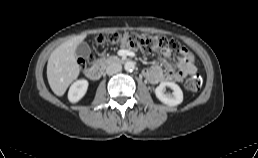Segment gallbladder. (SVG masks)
I'll use <instances>...</instances> for the list:
<instances>
[{
  "mask_svg": "<svg viewBox=\"0 0 258 158\" xmlns=\"http://www.w3.org/2000/svg\"><path fill=\"white\" fill-rule=\"evenodd\" d=\"M90 52L91 50L89 45L86 42H81L76 48L75 55L78 58L87 59L90 55Z\"/></svg>",
  "mask_w": 258,
  "mask_h": 158,
  "instance_id": "gallbladder-1",
  "label": "gallbladder"
}]
</instances>
